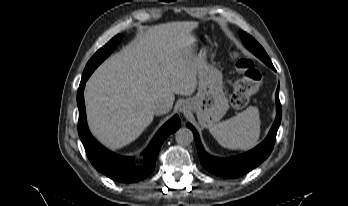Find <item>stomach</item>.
<instances>
[{
  "label": "stomach",
  "mask_w": 348,
  "mask_h": 206,
  "mask_svg": "<svg viewBox=\"0 0 348 206\" xmlns=\"http://www.w3.org/2000/svg\"><path fill=\"white\" fill-rule=\"evenodd\" d=\"M194 51L199 56L203 54V47L199 42L194 43ZM198 79V93L192 99V109L201 124L209 126L220 120L228 109V102L222 91V75L215 67L201 60Z\"/></svg>",
  "instance_id": "0dacf381"
}]
</instances>
